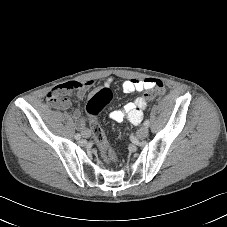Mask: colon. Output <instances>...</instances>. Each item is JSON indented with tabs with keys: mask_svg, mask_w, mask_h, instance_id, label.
Returning <instances> with one entry per match:
<instances>
[{
	"mask_svg": "<svg viewBox=\"0 0 227 227\" xmlns=\"http://www.w3.org/2000/svg\"><path fill=\"white\" fill-rule=\"evenodd\" d=\"M69 88H77V84L68 85ZM164 84L161 80L152 79L151 87L145 94L146 99H154L158 95L164 93ZM52 96L57 98L56 92L52 93ZM112 100V92L108 88H103L95 93L87 104V113L91 118V129L95 139L98 142L99 150L102 151V155L106 160H115L116 154L111 149V144L107 143L105 134L98 124L96 117L103 110V108Z\"/></svg>",
	"mask_w": 227,
	"mask_h": 227,
	"instance_id": "colon-1",
	"label": "colon"
}]
</instances>
